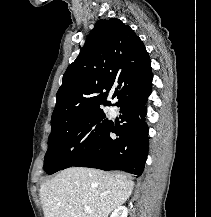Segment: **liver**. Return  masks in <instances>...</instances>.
Returning <instances> with one entry per match:
<instances>
[{"label":"liver","mask_w":211,"mask_h":217,"mask_svg":"<svg viewBox=\"0 0 211 217\" xmlns=\"http://www.w3.org/2000/svg\"><path fill=\"white\" fill-rule=\"evenodd\" d=\"M133 188L134 182L120 173L67 168L40 187L44 217H108ZM85 206L91 213L84 211Z\"/></svg>","instance_id":"6515ba94"}]
</instances>
